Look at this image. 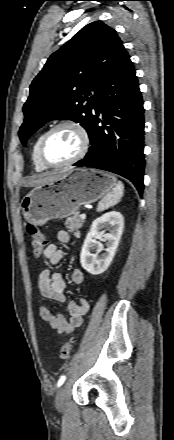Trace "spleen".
Returning a JSON list of instances; mask_svg holds the SVG:
<instances>
[{
    "mask_svg": "<svg viewBox=\"0 0 174 440\" xmlns=\"http://www.w3.org/2000/svg\"><path fill=\"white\" fill-rule=\"evenodd\" d=\"M123 193H124V185L121 181H118V183L113 188V190L108 194H106L102 198V200L98 203L97 211L101 212L113 205H116L118 202H120L121 198L123 197Z\"/></svg>",
    "mask_w": 174,
    "mask_h": 440,
    "instance_id": "spleen-1",
    "label": "spleen"
}]
</instances>
